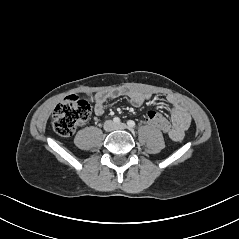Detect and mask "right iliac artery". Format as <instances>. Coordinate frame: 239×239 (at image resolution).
Segmentation results:
<instances>
[{"mask_svg":"<svg viewBox=\"0 0 239 239\" xmlns=\"http://www.w3.org/2000/svg\"><path fill=\"white\" fill-rule=\"evenodd\" d=\"M113 122H114L115 124H119V123H120V119H119L118 117H115V118L113 119Z\"/></svg>","mask_w":239,"mask_h":239,"instance_id":"1","label":"right iliac artery"}]
</instances>
